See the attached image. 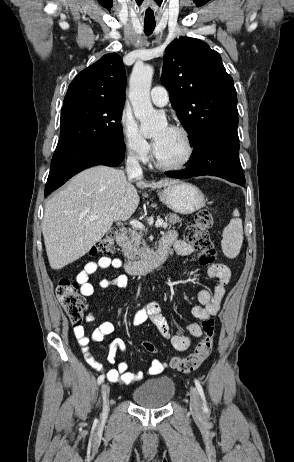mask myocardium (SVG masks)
Returning a JSON list of instances; mask_svg holds the SVG:
<instances>
[{
	"label": "myocardium",
	"instance_id": "obj_1",
	"mask_svg": "<svg viewBox=\"0 0 294 462\" xmlns=\"http://www.w3.org/2000/svg\"><path fill=\"white\" fill-rule=\"evenodd\" d=\"M169 128L179 132L184 137L186 146H187V152L185 156L179 162L164 163L159 159L156 153V149L154 147L153 159H154V164L159 169L166 170V171H175V170L183 169L189 164V162L192 160L194 153H195V145H194V141H193L191 133L184 126L179 125V124H173V125H170Z\"/></svg>",
	"mask_w": 294,
	"mask_h": 462
}]
</instances>
